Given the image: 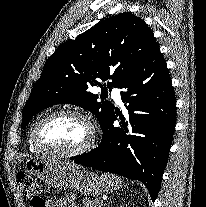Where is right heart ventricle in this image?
<instances>
[{
  "mask_svg": "<svg viewBox=\"0 0 206 207\" xmlns=\"http://www.w3.org/2000/svg\"><path fill=\"white\" fill-rule=\"evenodd\" d=\"M32 132H33V128L31 129L29 136H28V147L31 152L38 153L40 151L33 145Z\"/></svg>",
  "mask_w": 206,
  "mask_h": 207,
  "instance_id": "e07e8e85",
  "label": "right heart ventricle"
}]
</instances>
